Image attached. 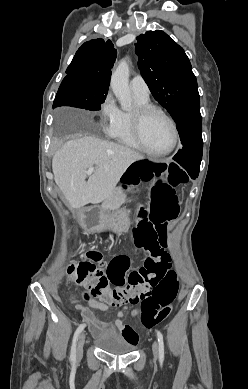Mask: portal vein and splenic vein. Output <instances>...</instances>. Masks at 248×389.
<instances>
[{
	"instance_id": "1",
	"label": "portal vein and splenic vein",
	"mask_w": 248,
	"mask_h": 389,
	"mask_svg": "<svg viewBox=\"0 0 248 389\" xmlns=\"http://www.w3.org/2000/svg\"><path fill=\"white\" fill-rule=\"evenodd\" d=\"M93 171H94V167H91L88 169V171L86 173H87V175H91L93 173Z\"/></svg>"
}]
</instances>
